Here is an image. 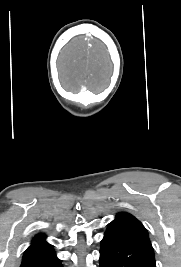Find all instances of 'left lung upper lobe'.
Segmentation results:
<instances>
[{
	"mask_svg": "<svg viewBox=\"0 0 181 267\" xmlns=\"http://www.w3.org/2000/svg\"><path fill=\"white\" fill-rule=\"evenodd\" d=\"M111 223H117L128 226L129 228L135 230L137 233L148 238V233L146 228L142 225L141 222H139L134 216H132L129 213L126 212L118 213L115 219Z\"/></svg>",
	"mask_w": 181,
	"mask_h": 267,
	"instance_id": "obj_1",
	"label": "left lung upper lobe"
}]
</instances>
